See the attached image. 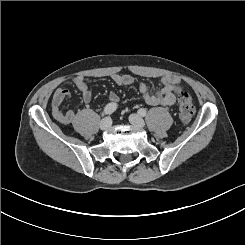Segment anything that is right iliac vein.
<instances>
[{
  "label": "right iliac vein",
  "mask_w": 245,
  "mask_h": 245,
  "mask_svg": "<svg viewBox=\"0 0 245 245\" xmlns=\"http://www.w3.org/2000/svg\"><path fill=\"white\" fill-rule=\"evenodd\" d=\"M112 125V120L110 117H106L104 118L101 122H100V128L102 130H107L111 127Z\"/></svg>",
  "instance_id": "obj_1"
}]
</instances>
